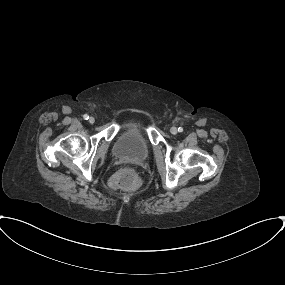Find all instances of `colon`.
<instances>
[{"label": "colon", "instance_id": "5ec220e1", "mask_svg": "<svg viewBox=\"0 0 285 285\" xmlns=\"http://www.w3.org/2000/svg\"><path fill=\"white\" fill-rule=\"evenodd\" d=\"M138 182V175L131 166H126L118 170L111 180V184L116 188L133 189Z\"/></svg>", "mask_w": 285, "mask_h": 285}]
</instances>
